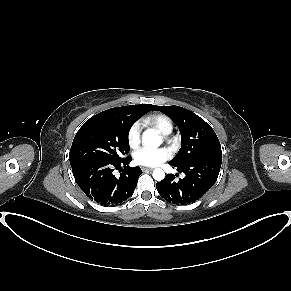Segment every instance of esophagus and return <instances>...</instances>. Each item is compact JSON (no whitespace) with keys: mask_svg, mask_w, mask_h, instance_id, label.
<instances>
[{"mask_svg":"<svg viewBox=\"0 0 291 291\" xmlns=\"http://www.w3.org/2000/svg\"><path fill=\"white\" fill-rule=\"evenodd\" d=\"M143 171H152L153 168H149V167H142L141 168Z\"/></svg>","mask_w":291,"mask_h":291,"instance_id":"esophagus-1","label":"esophagus"}]
</instances>
